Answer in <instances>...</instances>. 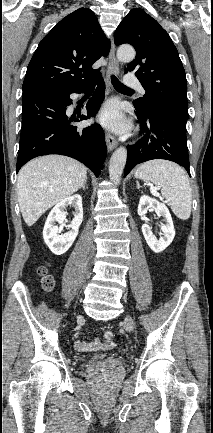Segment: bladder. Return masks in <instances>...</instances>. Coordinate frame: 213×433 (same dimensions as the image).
<instances>
[{
	"label": "bladder",
	"instance_id": "1",
	"mask_svg": "<svg viewBox=\"0 0 213 433\" xmlns=\"http://www.w3.org/2000/svg\"><path fill=\"white\" fill-rule=\"evenodd\" d=\"M108 357H109L108 354H97V355H95V356L93 357V359H94V360H102V359H105V358H108Z\"/></svg>",
	"mask_w": 213,
	"mask_h": 433
}]
</instances>
